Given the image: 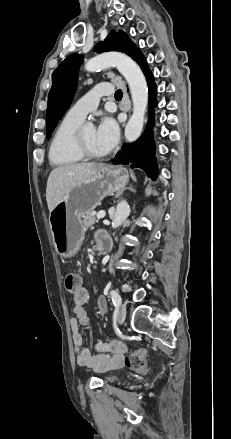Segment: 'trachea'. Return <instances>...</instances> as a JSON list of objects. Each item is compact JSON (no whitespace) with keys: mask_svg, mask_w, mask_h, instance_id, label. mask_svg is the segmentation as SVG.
I'll return each mask as SVG.
<instances>
[{"mask_svg":"<svg viewBox=\"0 0 231 439\" xmlns=\"http://www.w3.org/2000/svg\"><path fill=\"white\" fill-rule=\"evenodd\" d=\"M115 99H117V100H120L121 98H122V96H123V93H122V90L121 89H118L116 92H115Z\"/></svg>","mask_w":231,"mask_h":439,"instance_id":"trachea-1","label":"trachea"}]
</instances>
